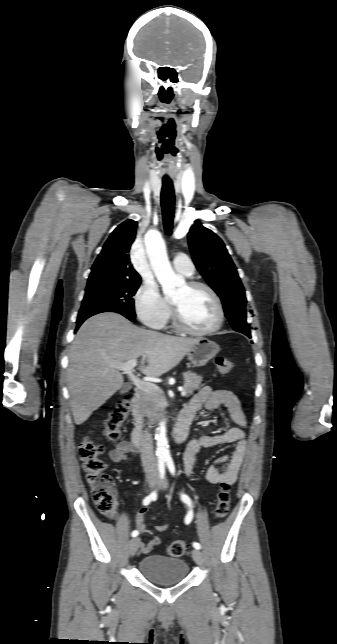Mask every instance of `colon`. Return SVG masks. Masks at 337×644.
<instances>
[{"label": "colon", "mask_w": 337, "mask_h": 644, "mask_svg": "<svg viewBox=\"0 0 337 644\" xmlns=\"http://www.w3.org/2000/svg\"><path fill=\"white\" fill-rule=\"evenodd\" d=\"M216 367L221 375H227L234 368V362L224 356L216 358ZM130 411L127 398L120 400L108 413L104 421V436L111 443H118L122 435V426ZM103 447L89 438L83 439L78 445V455L88 485L91 488L92 499L98 511L110 516L115 507L113 480L105 473V463L102 459ZM230 484L222 482L217 493L215 516L223 519L230 509ZM187 545L182 540L173 541L168 546L171 557H181L186 552Z\"/></svg>", "instance_id": "1"}]
</instances>
